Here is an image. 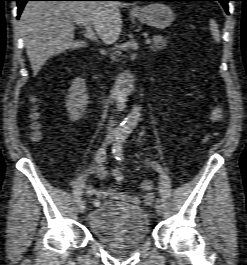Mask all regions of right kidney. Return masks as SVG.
I'll return each instance as SVG.
<instances>
[{"label": "right kidney", "instance_id": "obj_1", "mask_svg": "<svg viewBox=\"0 0 247 265\" xmlns=\"http://www.w3.org/2000/svg\"><path fill=\"white\" fill-rule=\"evenodd\" d=\"M89 103V96L86 90L85 80L78 77L71 83L69 95L66 101V108L69 118L72 122L81 119L87 105Z\"/></svg>", "mask_w": 247, "mask_h": 265}]
</instances>
